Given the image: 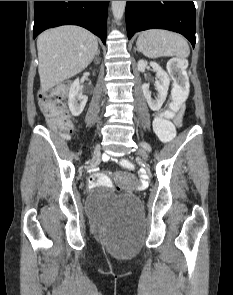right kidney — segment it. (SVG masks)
<instances>
[{
    "mask_svg": "<svg viewBox=\"0 0 233 295\" xmlns=\"http://www.w3.org/2000/svg\"><path fill=\"white\" fill-rule=\"evenodd\" d=\"M88 97L82 94L79 79H76L69 87L68 106L73 116H79L87 103Z\"/></svg>",
    "mask_w": 233,
    "mask_h": 295,
    "instance_id": "right-kidney-1",
    "label": "right kidney"
}]
</instances>
